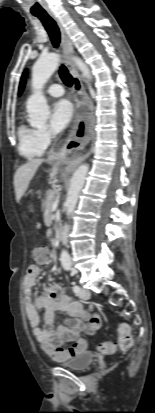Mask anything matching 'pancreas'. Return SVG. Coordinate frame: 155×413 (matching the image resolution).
Listing matches in <instances>:
<instances>
[{"instance_id":"obj_1","label":"pancreas","mask_w":155,"mask_h":413,"mask_svg":"<svg viewBox=\"0 0 155 413\" xmlns=\"http://www.w3.org/2000/svg\"><path fill=\"white\" fill-rule=\"evenodd\" d=\"M55 194L54 190H48L45 199V222L46 224H51L52 222V210L53 204L55 202Z\"/></svg>"}]
</instances>
